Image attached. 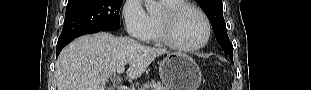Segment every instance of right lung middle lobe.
Segmentation results:
<instances>
[{
	"instance_id": "right-lung-middle-lobe-1",
	"label": "right lung middle lobe",
	"mask_w": 311,
	"mask_h": 90,
	"mask_svg": "<svg viewBox=\"0 0 311 90\" xmlns=\"http://www.w3.org/2000/svg\"><path fill=\"white\" fill-rule=\"evenodd\" d=\"M122 2L123 0H68L58 42L84 32L119 29Z\"/></svg>"
}]
</instances>
